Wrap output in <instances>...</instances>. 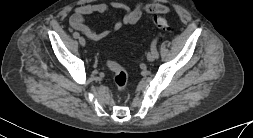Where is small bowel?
<instances>
[{
  "label": "small bowel",
  "mask_w": 253,
  "mask_h": 138,
  "mask_svg": "<svg viewBox=\"0 0 253 138\" xmlns=\"http://www.w3.org/2000/svg\"><path fill=\"white\" fill-rule=\"evenodd\" d=\"M111 9H118L125 12L122 20L116 22L113 25L112 31H118L123 26L136 24L142 16L145 14H169L171 9L163 4L158 3H137L133 7H130L123 2H111L109 4H87L77 7L70 17V26L84 34L88 39L92 41H99L108 37L111 33L110 30H104L97 32L90 28L85 23V16L92 14H108Z\"/></svg>",
  "instance_id": "c3829d8e"
}]
</instances>
